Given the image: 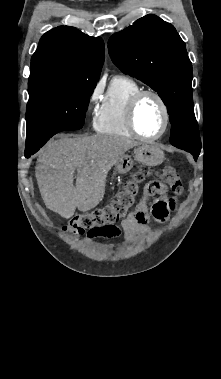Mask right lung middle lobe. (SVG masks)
<instances>
[{"instance_id":"obj_1","label":"right lung middle lobe","mask_w":221,"mask_h":379,"mask_svg":"<svg viewBox=\"0 0 221 379\" xmlns=\"http://www.w3.org/2000/svg\"><path fill=\"white\" fill-rule=\"evenodd\" d=\"M94 88L86 83L30 94L26 144L43 146L58 132L82 128Z\"/></svg>"}]
</instances>
